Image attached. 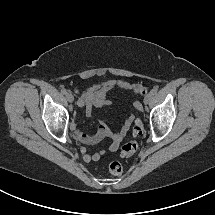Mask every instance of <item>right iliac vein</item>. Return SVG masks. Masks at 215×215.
<instances>
[{
  "instance_id": "right-iliac-vein-1",
  "label": "right iliac vein",
  "mask_w": 215,
  "mask_h": 215,
  "mask_svg": "<svg viewBox=\"0 0 215 215\" xmlns=\"http://www.w3.org/2000/svg\"><path fill=\"white\" fill-rule=\"evenodd\" d=\"M66 97H67V99H68L69 102L72 103L74 101V97L72 96V94L68 93V94H66Z\"/></svg>"
}]
</instances>
